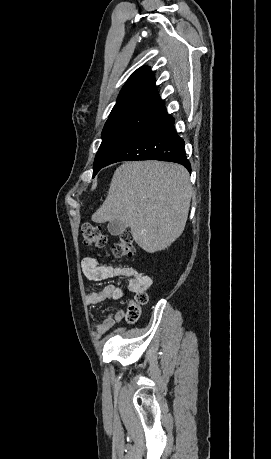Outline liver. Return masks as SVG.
<instances>
[{
    "label": "liver",
    "mask_w": 271,
    "mask_h": 459,
    "mask_svg": "<svg viewBox=\"0 0 271 459\" xmlns=\"http://www.w3.org/2000/svg\"><path fill=\"white\" fill-rule=\"evenodd\" d=\"M191 194L189 174L179 164L125 162L115 170L108 196L92 220L96 224L123 222L136 243L153 253L181 235Z\"/></svg>",
    "instance_id": "liver-1"
}]
</instances>
